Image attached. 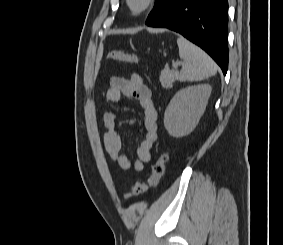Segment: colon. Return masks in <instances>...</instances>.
Instances as JSON below:
<instances>
[{
  "instance_id": "colon-1",
  "label": "colon",
  "mask_w": 283,
  "mask_h": 245,
  "mask_svg": "<svg viewBox=\"0 0 283 245\" xmlns=\"http://www.w3.org/2000/svg\"><path fill=\"white\" fill-rule=\"evenodd\" d=\"M108 58L112 61L121 62V63H128V64L137 63V57L134 54L128 53L122 49L111 50L108 54ZM167 161H168L167 154L165 153L159 154L152 166V172L147 182L135 183V185H133L132 188L124 194L125 200L127 201L133 200L137 197L142 196L148 191L157 188L160 179L165 173Z\"/></svg>"
}]
</instances>
